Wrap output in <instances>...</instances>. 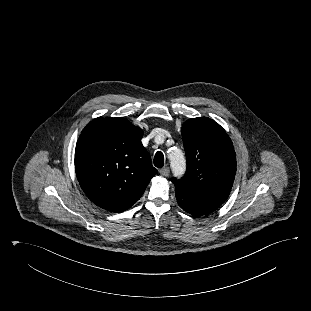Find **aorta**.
Wrapping results in <instances>:
<instances>
[{"label": "aorta", "instance_id": "aorta-1", "mask_svg": "<svg viewBox=\"0 0 311 311\" xmlns=\"http://www.w3.org/2000/svg\"><path fill=\"white\" fill-rule=\"evenodd\" d=\"M171 167L174 175L181 176L185 171V159L180 149H174L169 153Z\"/></svg>", "mask_w": 311, "mask_h": 311}]
</instances>
